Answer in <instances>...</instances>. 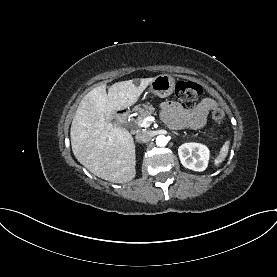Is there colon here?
<instances>
[{"mask_svg":"<svg viewBox=\"0 0 277 277\" xmlns=\"http://www.w3.org/2000/svg\"><path fill=\"white\" fill-rule=\"evenodd\" d=\"M202 87L191 81H180L176 84L175 93L183 106L190 108L195 105L202 95ZM212 120L215 123H222L225 117L223 110L215 109L212 112Z\"/></svg>","mask_w":277,"mask_h":277,"instance_id":"colon-1","label":"colon"}]
</instances>
